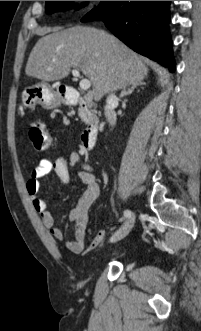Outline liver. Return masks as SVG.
<instances>
[{
	"label": "liver",
	"mask_w": 201,
	"mask_h": 331,
	"mask_svg": "<svg viewBox=\"0 0 201 331\" xmlns=\"http://www.w3.org/2000/svg\"><path fill=\"white\" fill-rule=\"evenodd\" d=\"M78 68L89 79L94 99L141 82L148 74L142 58L103 30L75 26L38 40L25 73L43 82L67 77Z\"/></svg>",
	"instance_id": "obj_1"
}]
</instances>
